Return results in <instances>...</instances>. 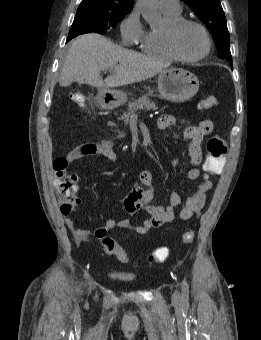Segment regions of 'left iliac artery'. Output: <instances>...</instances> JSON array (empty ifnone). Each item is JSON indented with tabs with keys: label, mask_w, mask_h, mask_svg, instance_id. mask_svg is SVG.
<instances>
[{
	"label": "left iliac artery",
	"mask_w": 261,
	"mask_h": 340,
	"mask_svg": "<svg viewBox=\"0 0 261 340\" xmlns=\"http://www.w3.org/2000/svg\"><path fill=\"white\" fill-rule=\"evenodd\" d=\"M182 300L185 305L189 304V287L186 281L182 283Z\"/></svg>",
	"instance_id": "obj_1"
}]
</instances>
